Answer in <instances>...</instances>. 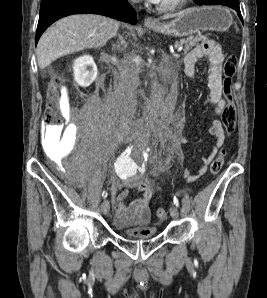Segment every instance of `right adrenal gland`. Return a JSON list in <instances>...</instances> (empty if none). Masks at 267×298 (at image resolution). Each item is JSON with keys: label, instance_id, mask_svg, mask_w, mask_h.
Returning <instances> with one entry per match:
<instances>
[{"label": "right adrenal gland", "instance_id": "obj_1", "mask_svg": "<svg viewBox=\"0 0 267 298\" xmlns=\"http://www.w3.org/2000/svg\"><path fill=\"white\" fill-rule=\"evenodd\" d=\"M118 37H119V40L121 41V45H125V41H124L123 37H121L120 35H118ZM112 46H113V49L119 48V45L116 46L115 44H112Z\"/></svg>", "mask_w": 267, "mask_h": 298}]
</instances>
